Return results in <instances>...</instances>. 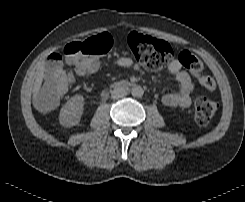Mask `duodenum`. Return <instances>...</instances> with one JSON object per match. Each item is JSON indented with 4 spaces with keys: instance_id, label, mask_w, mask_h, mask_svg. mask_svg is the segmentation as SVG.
<instances>
[{
    "instance_id": "duodenum-1",
    "label": "duodenum",
    "mask_w": 245,
    "mask_h": 202,
    "mask_svg": "<svg viewBox=\"0 0 245 202\" xmlns=\"http://www.w3.org/2000/svg\"><path fill=\"white\" fill-rule=\"evenodd\" d=\"M130 86H132V84L129 82H125V83L116 85V87L119 89H128Z\"/></svg>"
}]
</instances>
